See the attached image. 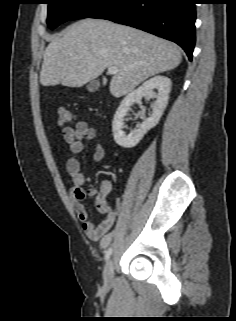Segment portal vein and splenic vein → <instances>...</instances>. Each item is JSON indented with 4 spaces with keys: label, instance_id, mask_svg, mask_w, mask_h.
Wrapping results in <instances>:
<instances>
[{
    "label": "portal vein and splenic vein",
    "instance_id": "1",
    "mask_svg": "<svg viewBox=\"0 0 236 321\" xmlns=\"http://www.w3.org/2000/svg\"><path fill=\"white\" fill-rule=\"evenodd\" d=\"M119 72V69L116 66L108 67V74L115 75Z\"/></svg>",
    "mask_w": 236,
    "mask_h": 321
}]
</instances>
